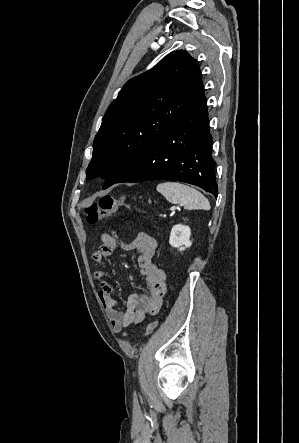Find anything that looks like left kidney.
<instances>
[{
    "label": "left kidney",
    "instance_id": "obj_1",
    "mask_svg": "<svg viewBox=\"0 0 299 443\" xmlns=\"http://www.w3.org/2000/svg\"><path fill=\"white\" fill-rule=\"evenodd\" d=\"M190 235L191 230L188 226L177 224L171 230L169 243L172 247L183 251L192 245Z\"/></svg>",
    "mask_w": 299,
    "mask_h": 443
}]
</instances>
